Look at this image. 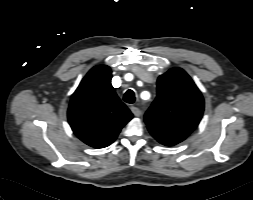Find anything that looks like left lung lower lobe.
<instances>
[{
  "label": "left lung lower lobe",
  "mask_w": 253,
  "mask_h": 200,
  "mask_svg": "<svg viewBox=\"0 0 253 200\" xmlns=\"http://www.w3.org/2000/svg\"><path fill=\"white\" fill-rule=\"evenodd\" d=\"M148 130L158 142L166 146L176 145L180 143L181 141H183L184 139H186V136H183V135L167 133V132L159 131L156 129L148 128Z\"/></svg>",
  "instance_id": "0a47b994"
}]
</instances>
